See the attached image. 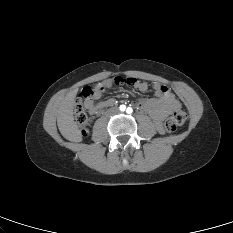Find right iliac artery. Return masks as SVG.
<instances>
[{
  "label": "right iliac artery",
  "instance_id": "obj_1",
  "mask_svg": "<svg viewBox=\"0 0 233 233\" xmlns=\"http://www.w3.org/2000/svg\"><path fill=\"white\" fill-rule=\"evenodd\" d=\"M125 109H126V106H125V105H121V106H120V110H121V111H125Z\"/></svg>",
  "mask_w": 233,
  "mask_h": 233
}]
</instances>
